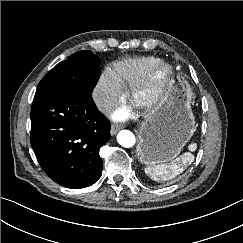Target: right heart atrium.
<instances>
[{"label": "right heart atrium", "mask_w": 243, "mask_h": 243, "mask_svg": "<svg viewBox=\"0 0 243 243\" xmlns=\"http://www.w3.org/2000/svg\"><path fill=\"white\" fill-rule=\"evenodd\" d=\"M123 96V90L111 79L107 72L100 75L93 91L95 105L101 112L114 107Z\"/></svg>", "instance_id": "1"}]
</instances>
